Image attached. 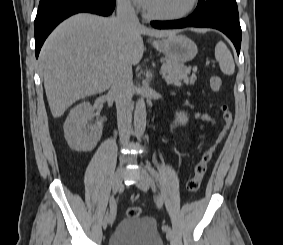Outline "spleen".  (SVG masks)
Instances as JSON below:
<instances>
[{"label": "spleen", "instance_id": "obj_1", "mask_svg": "<svg viewBox=\"0 0 283 245\" xmlns=\"http://www.w3.org/2000/svg\"><path fill=\"white\" fill-rule=\"evenodd\" d=\"M215 58L219 62L221 71L226 75H232L235 71L233 57L227 46L219 41L215 46Z\"/></svg>", "mask_w": 283, "mask_h": 245}]
</instances>
